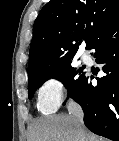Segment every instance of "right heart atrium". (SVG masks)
Returning a JSON list of instances; mask_svg holds the SVG:
<instances>
[{"label":"right heart atrium","mask_w":119,"mask_h":141,"mask_svg":"<svg viewBox=\"0 0 119 141\" xmlns=\"http://www.w3.org/2000/svg\"><path fill=\"white\" fill-rule=\"evenodd\" d=\"M66 88L58 77L45 80L38 89V103L45 112L54 111L64 100Z\"/></svg>","instance_id":"obj_1"}]
</instances>
